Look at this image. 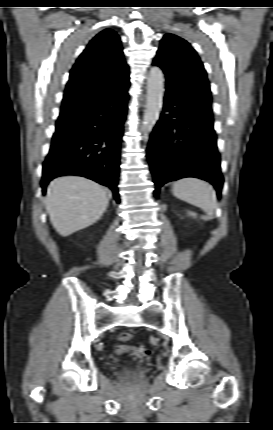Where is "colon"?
<instances>
[{
    "label": "colon",
    "mask_w": 273,
    "mask_h": 430,
    "mask_svg": "<svg viewBox=\"0 0 273 430\" xmlns=\"http://www.w3.org/2000/svg\"><path fill=\"white\" fill-rule=\"evenodd\" d=\"M118 339L120 341H129L132 339V334L129 332H122L119 334ZM130 351L134 356H136L137 358H143L145 356H147L149 354V350L146 347H128V348H123L122 346H119L117 348V353L122 354L125 352Z\"/></svg>",
    "instance_id": "obj_1"
}]
</instances>
